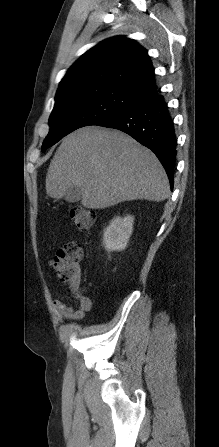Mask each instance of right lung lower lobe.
Returning <instances> with one entry per match:
<instances>
[{"label": "right lung lower lobe", "instance_id": "1", "mask_svg": "<svg viewBox=\"0 0 219 447\" xmlns=\"http://www.w3.org/2000/svg\"><path fill=\"white\" fill-rule=\"evenodd\" d=\"M97 125L121 130L151 149L163 165L173 189L176 136L168 106L159 93Z\"/></svg>", "mask_w": 219, "mask_h": 447}]
</instances>
